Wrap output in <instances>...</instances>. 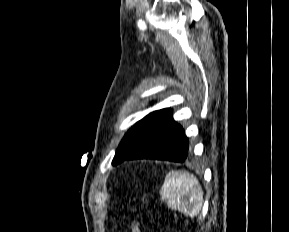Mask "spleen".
Masks as SVG:
<instances>
[{
    "instance_id": "spleen-1",
    "label": "spleen",
    "mask_w": 289,
    "mask_h": 232,
    "mask_svg": "<svg viewBox=\"0 0 289 232\" xmlns=\"http://www.w3.org/2000/svg\"><path fill=\"white\" fill-rule=\"evenodd\" d=\"M167 206L189 217L199 215L203 204V190L198 179L188 171H171L160 190Z\"/></svg>"
}]
</instances>
